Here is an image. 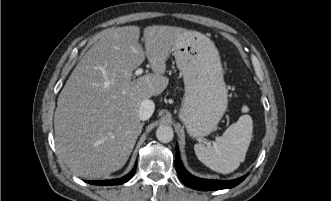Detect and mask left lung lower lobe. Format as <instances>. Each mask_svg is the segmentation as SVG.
<instances>
[{
	"label": "left lung lower lobe",
	"mask_w": 331,
	"mask_h": 201,
	"mask_svg": "<svg viewBox=\"0 0 331 201\" xmlns=\"http://www.w3.org/2000/svg\"><path fill=\"white\" fill-rule=\"evenodd\" d=\"M175 168L180 179L186 186L202 191L232 188L241 183L246 178V176H243L241 178L230 181L206 180L197 178L188 173L183 167L179 157L178 147H176Z\"/></svg>",
	"instance_id": "obj_1"
}]
</instances>
